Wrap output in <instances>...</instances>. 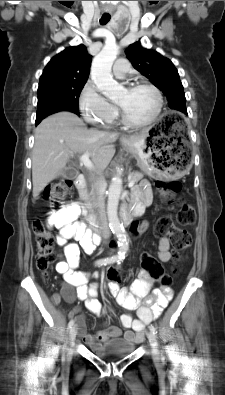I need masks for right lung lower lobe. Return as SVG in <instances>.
I'll return each mask as SVG.
<instances>
[{"label":"right lung lower lobe","mask_w":225,"mask_h":395,"mask_svg":"<svg viewBox=\"0 0 225 395\" xmlns=\"http://www.w3.org/2000/svg\"><path fill=\"white\" fill-rule=\"evenodd\" d=\"M64 110H66V111H73L75 114H77L78 116H80L79 110H74V109H64ZM41 120H42V119H39V120L36 119L35 124L38 125V124L41 122Z\"/></svg>","instance_id":"1"}]
</instances>
